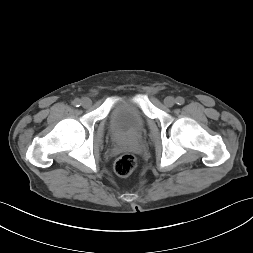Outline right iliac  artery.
<instances>
[{
	"label": "right iliac artery",
	"mask_w": 253,
	"mask_h": 253,
	"mask_svg": "<svg viewBox=\"0 0 253 253\" xmlns=\"http://www.w3.org/2000/svg\"><path fill=\"white\" fill-rule=\"evenodd\" d=\"M72 103H73L74 106L79 107L81 105V100L80 99H75Z\"/></svg>",
	"instance_id": "82829eb1"
}]
</instances>
